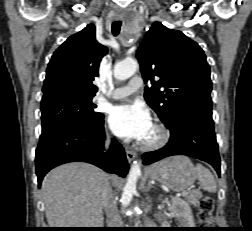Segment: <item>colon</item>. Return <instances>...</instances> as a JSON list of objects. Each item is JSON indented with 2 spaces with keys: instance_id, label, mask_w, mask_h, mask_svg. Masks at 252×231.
I'll return each mask as SVG.
<instances>
[{
  "instance_id": "colon-1",
  "label": "colon",
  "mask_w": 252,
  "mask_h": 231,
  "mask_svg": "<svg viewBox=\"0 0 252 231\" xmlns=\"http://www.w3.org/2000/svg\"><path fill=\"white\" fill-rule=\"evenodd\" d=\"M198 222L201 225H208L211 222L214 210V200L209 195H204L199 201Z\"/></svg>"
}]
</instances>
